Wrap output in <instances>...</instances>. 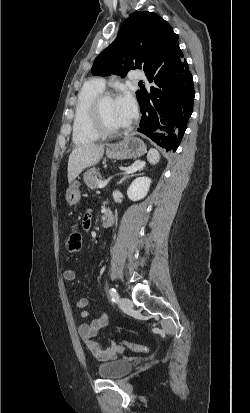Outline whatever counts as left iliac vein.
Returning a JSON list of instances; mask_svg holds the SVG:
<instances>
[{
    "label": "left iliac vein",
    "instance_id": "left-iliac-vein-1",
    "mask_svg": "<svg viewBox=\"0 0 250 413\" xmlns=\"http://www.w3.org/2000/svg\"><path fill=\"white\" fill-rule=\"evenodd\" d=\"M118 306L124 311H129L133 308V303L129 298L123 297L118 300Z\"/></svg>",
    "mask_w": 250,
    "mask_h": 413
}]
</instances>
